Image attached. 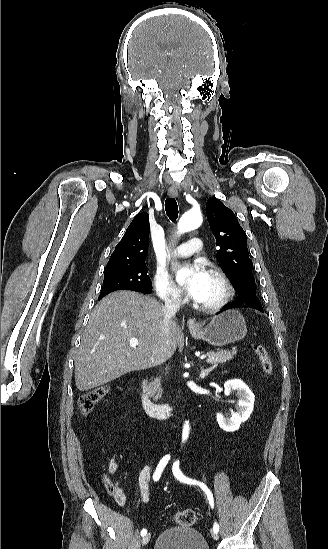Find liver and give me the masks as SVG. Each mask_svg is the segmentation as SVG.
<instances>
[{
	"instance_id": "obj_1",
	"label": "liver",
	"mask_w": 328,
	"mask_h": 549,
	"mask_svg": "<svg viewBox=\"0 0 328 549\" xmlns=\"http://www.w3.org/2000/svg\"><path fill=\"white\" fill-rule=\"evenodd\" d=\"M166 319L163 305L153 297L133 291H116L94 307L75 359V383L89 391L130 371H143L165 363L179 341L176 321ZM131 339L139 345L132 347ZM168 341V343H166Z\"/></svg>"
}]
</instances>
